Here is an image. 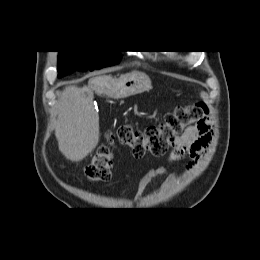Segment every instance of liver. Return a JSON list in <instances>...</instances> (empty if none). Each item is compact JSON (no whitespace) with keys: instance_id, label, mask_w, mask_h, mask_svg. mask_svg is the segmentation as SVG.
Returning <instances> with one entry per match:
<instances>
[{"instance_id":"6515ba94","label":"liver","mask_w":260,"mask_h":260,"mask_svg":"<svg viewBox=\"0 0 260 260\" xmlns=\"http://www.w3.org/2000/svg\"><path fill=\"white\" fill-rule=\"evenodd\" d=\"M117 80L110 75H98L89 80L87 87H65L56 106L55 135L66 159L81 161L98 145L99 115L94 107L93 92L112 97Z\"/></svg>"}]
</instances>
